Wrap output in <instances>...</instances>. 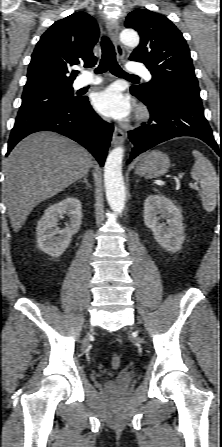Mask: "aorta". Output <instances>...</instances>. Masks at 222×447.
<instances>
[{
	"label": "aorta",
	"instance_id": "aorta-1",
	"mask_svg": "<svg viewBox=\"0 0 222 447\" xmlns=\"http://www.w3.org/2000/svg\"><path fill=\"white\" fill-rule=\"evenodd\" d=\"M120 40L128 47L139 44V36L133 29H125L120 33ZM124 150L122 147L114 148L108 155L104 165V182L106 197L111 209L121 213L125 207V186L122 176V160Z\"/></svg>",
	"mask_w": 222,
	"mask_h": 447
}]
</instances>
